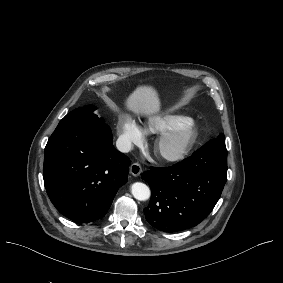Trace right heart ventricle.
<instances>
[{
	"mask_svg": "<svg viewBox=\"0 0 283 283\" xmlns=\"http://www.w3.org/2000/svg\"><path fill=\"white\" fill-rule=\"evenodd\" d=\"M184 119L189 118L181 114H164L151 117V121L157 125L159 131L172 129Z\"/></svg>",
	"mask_w": 283,
	"mask_h": 283,
	"instance_id": "1",
	"label": "right heart ventricle"
}]
</instances>
